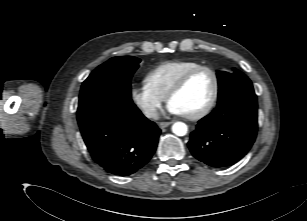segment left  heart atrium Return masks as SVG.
Instances as JSON below:
<instances>
[{"instance_id":"39dd6f15","label":"left heart atrium","mask_w":307,"mask_h":221,"mask_svg":"<svg viewBox=\"0 0 307 221\" xmlns=\"http://www.w3.org/2000/svg\"><path fill=\"white\" fill-rule=\"evenodd\" d=\"M167 111H168L170 114L182 115V113H181L174 105H172L171 103H169V104L167 105Z\"/></svg>"}]
</instances>
